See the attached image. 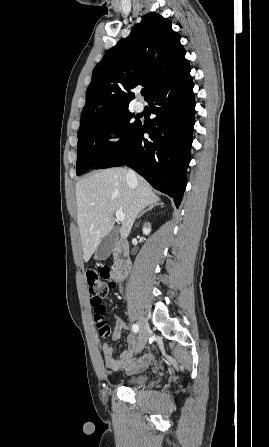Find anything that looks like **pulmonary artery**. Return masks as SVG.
Wrapping results in <instances>:
<instances>
[{
    "label": "pulmonary artery",
    "instance_id": "1",
    "mask_svg": "<svg viewBox=\"0 0 269 447\" xmlns=\"http://www.w3.org/2000/svg\"><path fill=\"white\" fill-rule=\"evenodd\" d=\"M136 108L138 111H142L144 109V103L142 101H138Z\"/></svg>",
    "mask_w": 269,
    "mask_h": 447
}]
</instances>
